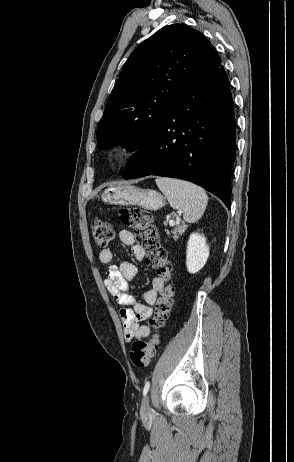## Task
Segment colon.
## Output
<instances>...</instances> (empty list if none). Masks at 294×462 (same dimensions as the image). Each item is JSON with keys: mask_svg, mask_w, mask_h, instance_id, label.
I'll list each match as a JSON object with an SVG mask.
<instances>
[{"mask_svg": "<svg viewBox=\"0 0 294 462\" xmlns=\"http://www.w3.org/2000/svg\"><path fill=\"white\" fill-rule=\"evenodd\" d=\"M119 216L122 223L133 230L137 245L144 252L146 263L167 282L155 305L153 317L149 321L153 329L151 338L147 341H135L131 347L130 358L133 365L137 368H145L151 363L158 350L160 330L164 327L172 307L174 288L169 283L172 266L166 250L161 245L150 212L139 207H129L122 209ZM90 231L95 244L99 247H106L113 237L112 225L100 217L91 219Z\"/></svg>", "mask_w": 294, "mask_h": 462, "instance_id": "obj_1", "label": "colon"}]
</instances>
